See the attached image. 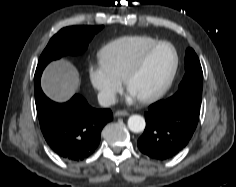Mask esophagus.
I'll list each match as a JSON object with an SVG mask.
<instances>
[{
    "mask_svg": "<svg viewBox=\"0 0 236 187\" xmlns=\"http://www.w3.org/2000/svg\"><path fill=\"white\" fill-rule=\"evenodd\" d=\"M128 115H129V113L127 111H125V110H118V111L115 112V116L116 117L128 116Z\"/></svg>",
    "mask_w": 236,
    "mask_h": 187,
    "instance_id": "obj_1",
    "label": "esophagus"
}]
</instances>
